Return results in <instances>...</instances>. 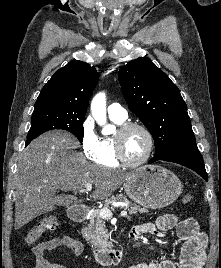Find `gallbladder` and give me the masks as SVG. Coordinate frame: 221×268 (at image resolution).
<instances>
[{
  "instance_id": "gallbladder-1",
  "label": "gallbladder",
  "mask_w": 221,
  "mask_h": 268,
  "mask_svg": "<svg viewBox=\"0 0 221 268\" xmlns=\"http://www.w3.org/2000/svg\"><path fill=\"white\" fill-rule=\"evenodd\" d=\"M59 200L60 202L58 205H61V206L67 205L69 203V198L63 195L59 196Z\"/></svg>"
}]
</instances>
